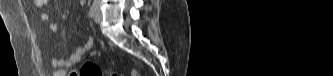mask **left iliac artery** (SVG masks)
Instances as JSON below:
<instances>
[{
  "mask_svg": "<svg viewBox=\"0 0 333 76\" xmlns=\"http://www.w3.org/2000/svg\"><path fill=\"white\" fill-rule=\"evenodd\" d=\"M97 7H98V1L95 0L93 2L92 6H91V8L89 10V12H88L89 17H93L94 16Z\"/></svg>",
  "mask_w": 333,
  "mask_h": 76,
  "instance_id": "1",
  "label": "left iliac artery"
}]
</instances>
